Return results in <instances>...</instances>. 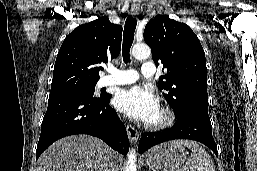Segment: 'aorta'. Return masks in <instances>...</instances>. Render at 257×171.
Listing matches in <instances>:
<instances>
[{
  "label": "aorta",
  "mask_w": 257,
  "mask_h": 171,
  "mask_svg": "<svg viewBox=\"0 0 257 171\" xmlns=\"http://www.w3.org/2000/svg\"><path fill=\"white\" fill-rule=\"evenodd\" d=\"M151 50L145 44H136L132 49V55L136 59H146L150 56ZM125 171H136V152L131 149L127 155V163Z\"/></svg>",
  "instance_id": "762f6f07"
}]
</instances>
